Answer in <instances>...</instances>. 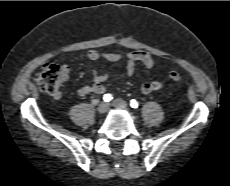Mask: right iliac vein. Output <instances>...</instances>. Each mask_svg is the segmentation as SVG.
I'll list each match as a JSON object with an SVG mask.
<instances>
[{
	"label": "right iliac vein",
	"mask_w": 230,
	"mask_h": 186,
	"mask_svg": "<svg viewBox=\"0 0 230 186\" xmlns=\"http://www.w3.org/2000/svg\"><path fill=\"white\" fill-rule=\"evenodd\" d=\"M109 109V105L108 103L106 102H101L99 105H98V108H97V111L99 114H105Z\"/></svg>",
	"instance_id": "right-iliac-vein-1"
}]
</instances>
